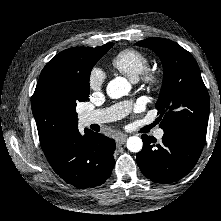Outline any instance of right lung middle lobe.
<instances>
[{"mask_svg": "<svg viewBox=\"0 0 221 221\" xmlns=\"http://www.w3.org/2000/svg\"><path fill=\"white\" fill-rule=\"evenodd\" d=\"M114 45V43H107L103 45L102 49L93 57L89 58L86 63L80 67L79 71L72 74V90L74 95V103L83 102L89 96V76L91 69L97 61Z\"/></svg>", "mask_w": 221, "mask_h": 221, "instance_id": "1", "label": "right lung middle lobe"}]
</instances>
